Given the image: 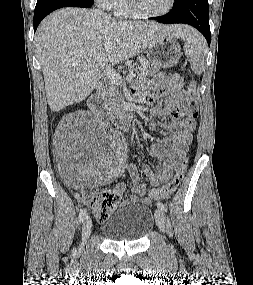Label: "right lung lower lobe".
<instances>
[{"instance_id":"1","label":"right lung lower lobe","mask_w":253,"mask_h":285,"mask_svg":"<svg viewBox=\"0 0 253 285\" xmlns=\"http://www.w3.org/2000/svg\"><path fill=\"white\" fill-rule=\"evenodd\" d=\"M93 3L89 0H38L34 11V32L41 20L54 10L68 6L87 8Z\"/></svg>"}]
</instances>
